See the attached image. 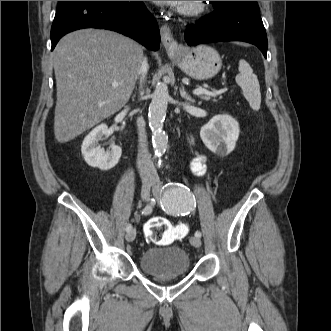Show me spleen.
Listing matches in <instances>:
<instances>
[{
    "label": "spleen",
    "mask_w": 331,
    "mask_h": 331,
    "mask_svg": "<svg viewBox=\"0 0 331 331\" xmlns=\"http://www.w3.org/2000/svg\"><path fill=\"white\" fill-rule=\"evenodd\" d=\"M237 84L242 88L245 99L253 110H259L261 104L260 85L251 66L245 60H239Z\"/></svg>",
    "instance_id": "obj_1"
}]
</instances>
